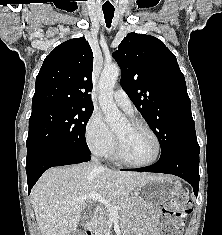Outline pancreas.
I'll use <instances>...</instances> for the list:
<instances>
[{"label": "pancreas", "mask_w": 222, "mask_h": 235, "mask_svg": "<svg viewBox=\"0 0 222 235\" xmlns=\"http://www.w3.org/2000/svg\"><path fill=\"white\" fill-rule=\"evenodd\" d=\"M113 206L120 207L119 213L124 217H132L135 214V204L130 199H118L111 202ZM111 215L105 209L93 222L92 228L95 235H105L109 227Z\"/></svg>", "instance_id": "pancreas-1"}]
</instances>
